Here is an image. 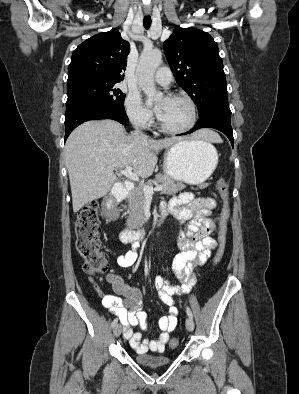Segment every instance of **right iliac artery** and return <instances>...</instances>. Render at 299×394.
<instances>
[{
	"mask_svg": "<svg viewBox=\"0 0 299 394\" xmlns=\"http://www.w3.org/2000/svg\"><path fill=\"white\" fill-rule=\"evenodd\" d=\"M117 322H118V319H117V318L114 319L113 322L111 323V327H112V328L115 327V325L117 324Z\"/></svg>",
	"mask_w": 299,
	"mask_h": 394,
	"instance_id": "right-iliac-artery-1",
	"label": "right iliac artery"
}]
</instances>
